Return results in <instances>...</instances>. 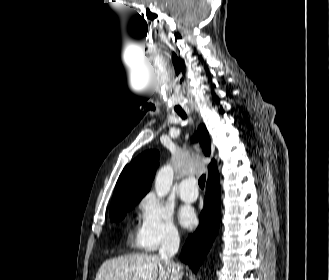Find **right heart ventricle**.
<instances>
[{
    "label": "right heart ventricle",
    "mask_w": 329,
    "mask_h": 280,
    "mask_svg": "<svg viewBox=\"0 0 329 280\" xmlns=\"http://www.w3.org/2000/svg\"><path fill=\"white\" fill-rule=\"evenodd\" d=\"M137 243L140 245L139 241H138V238H137Z\"/></svg>",
    "instance_id": "e07e8e85"
}]
</instances>
